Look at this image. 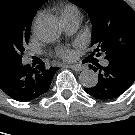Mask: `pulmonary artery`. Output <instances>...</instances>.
Instances as JSON below:
<instances>
[{"label": "pulmonary artery", "mask_w": 135, "mask_h": 135, "mask_svg": "<svg viewBox=\"0 0 135 135\" xmlns=\"http://www.w3.org/2000/svg\"><path fill=\"white\" fill-rule=\"evenodd\" d=\"M61 22H62V25H63V28H64L65 32L67 34H72L79 27L80 17L79 16L65 17V18L61 19ZM102 64H103V66H107L108 65V61L106 59H104L102 61Z\"/></svg>", "instance_id": "1"}]
</instances>
